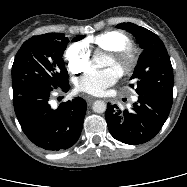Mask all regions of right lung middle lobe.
<instances>
[{"mask_svg":"<svg viewBox=\"0 0 187 187\" xmlns=\"http://www.w3.org/2000/svg\"><path fill=\"white\" fill-rule=\"evenodd\" d=\"M82 38L84 35L72 41ZM68 42L62 33L33 36L25 41L12 66L13 97L30 88L63 86L68 72L62 56Z\"/></svg>","mask_w":187,"mask_h":187,"instance_id":"right-lung-middle-lobe-1","label":"right lung middle lobe"}]
</instances>
